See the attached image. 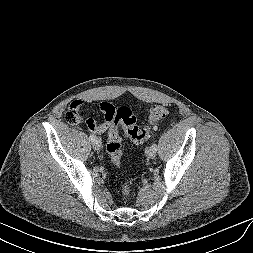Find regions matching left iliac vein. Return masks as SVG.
I'll use <instances>...</instances> for the list:
<instances>
[{"instance_id": "left-iliac-vein-1", "label": "left iliac vein", "mask_w": 253, "mask_h": 253, "mask_svg": "<svg viewBox=\"0 0 253 253\" xmlns=\"http://www.w3.org/2000/svg\"><path fill=\"white\" fill-rule=\"evenodd\" d=\"M156 154H157L156 150H154L152 148H149V149L146 150V156L148 158L152 159V158H154L156 156Z\"/></svg>"}]
</instances>
